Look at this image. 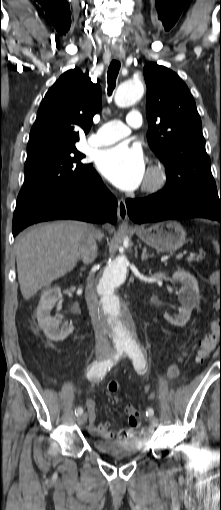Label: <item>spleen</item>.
Wrapping results in <instances>:
<instances>
[{
    "mask_svg": "<svg viewBox=\"0 0 221 510\" xmlns=\"http://www.w3.org/2000/svg\"><path fill=\"white\" fill-rule=\"evenodd\" d=\"M214 245L216 246V248L218 247V244H217V242H216V241H214Z\"/></svg>",
    "mask_w": 221,
    "mask_h": 510,
    "instance_id": "spleen-1",
    "label": "spleen"
}]
</instances>
